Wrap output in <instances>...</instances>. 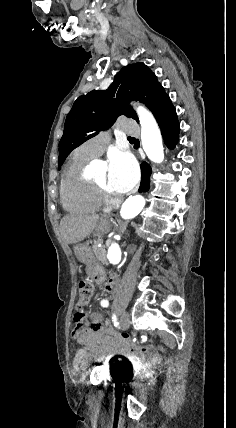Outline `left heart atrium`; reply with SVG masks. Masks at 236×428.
I'll list each match as a JSON object with an SVG mask.
<instances>
[{
    "label": "left heart atrium",
    "mask_w": 236,
    "mask_h": 428,
    "mask_svg": "<svg viewBox=\"0 0 236 428\" xmlns=\"http://www.w3.org/2000/svg\"><path fill=\"white\" fill-rule=\"evenodd\" d=\"M109 182L119 194L131 191L139 178V169L134 157L124 150L113 152L108 160Z\"/></svg>",
    "instance_id": "39dd6f15"
}]
</instances>
